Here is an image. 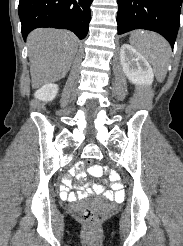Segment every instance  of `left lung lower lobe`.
Returning <instances> with one entry per match:
<instances>
[{
	"mask_svg": "<svg viewBox=\"0 0 183 246\" xmlns=\"http://www.w3.org/2000/svg\"><path fill=\"white\" fill-rule=\"evenodd\" d=\"M183 0H117L118 34L145 29L161 34L173 48Z\"/></svg>",
	"mask_w": 183,
	"mask_h": 246,
	"instance_id": "left-lung-lower-lobe-1",
	"label": "left lung lower lobe"
}]
</instances>
